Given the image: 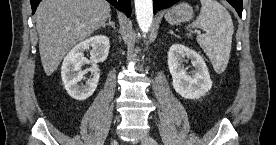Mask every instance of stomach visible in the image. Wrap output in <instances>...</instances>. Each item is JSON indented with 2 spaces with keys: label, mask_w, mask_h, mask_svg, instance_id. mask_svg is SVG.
<instances>
[{
  "label": "stomach",
  "mask_w": 276,
  "mask_h": 145,
  "mask_svg": "<svg viewBox=\"0 0 276 145\" xmlns=\"http://www.w3.org/2000/svg\"><path fill=\"white\" fill-rule=\"evenodd\" d=\"M193 17V9L188 3H179L169 9L165 15V19L170 24H179L187 22Z\"/></svg>",
  "instance_id": "obj_1"
}]
</instances>
